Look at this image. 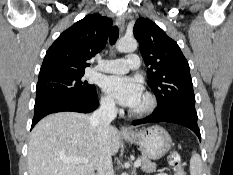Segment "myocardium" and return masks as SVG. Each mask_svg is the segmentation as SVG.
Segmentation results:
<instances>
[{"instance_id":"f54148a6","label":"myocardium","mask_w":233,"mask_h":175,"mask_svg":"<svg viewBox=\"0 0 233 175\" xmlns=\"http://www.w3.org/2000/svg\"><path fill=\"white\" fill-rule=\"evenodd\" d=\"M156 105V98L152 94L147 93L142 98V104L139 107L132 109L131 114L134 116L147 115L156 108Z\"/></svg>"}]
</instances>
